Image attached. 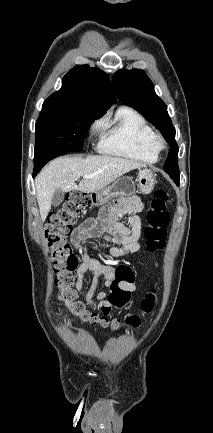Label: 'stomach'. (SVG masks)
<instances>
[{
  "label": "stomach",
  "mask_w": 213,
  "mask_h": 433,
  "mask_svg": "<svg viewBox=\"0 0 213 433\" xmlns=\"http://www.w3.org/2000/svg\"><path fill=\"white\" fill-rule=\"evenodd\" d=\"M155 175L148 169L140 170L137 180L130 176L117 179L112 185L106 186L89 195L90 202L94 206H103L117 197H128L136 193L150 194L155 186Z\"/></svg>",
  "instance_id": "obj_1"
}]
</instances>
